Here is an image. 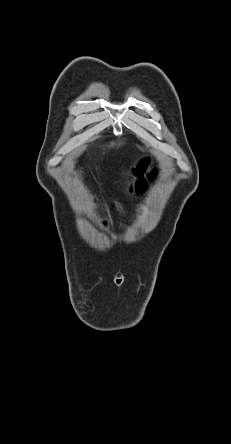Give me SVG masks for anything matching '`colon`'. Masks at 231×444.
Segmentation results:
<instances>
[{
  "instance_id": "1",
  "label": "colon",
  "mask_w": 231,
  "mask_h": 444,
  "mask_svg": "<svg viewBox=\"0 0 231 444\" xmlns=\"http://www.w3.org/2000/svg\"><path fill=\"white\" fill-rule=\"evenodd\" d=\"M149 160L147 158L142 159L138 164V171L143 172L148 168ZM141 190V184H136V191L139 192Z\"/></svg>"
}]
</instances>
